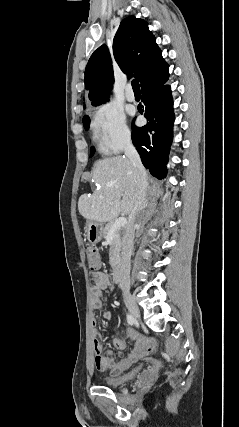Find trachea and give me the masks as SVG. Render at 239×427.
Wrapping results in <instances>:
<instances>
[{
    "label": "trachea",
    "mask_w": 239,
    "mask_h": 427,
    "mask_svg": "<svg viewBox=\"0 0 239 427\" xmlns=\"http://www.w3.org/2000/svg\"><path fill=\"white\" fill-rule=\"evenodd\" d=\"M132 88L134 92L140 93V85L137 79L132 81Z\"/></svg>",
    "instance_id": "trachea-1"
}]
</instances>
